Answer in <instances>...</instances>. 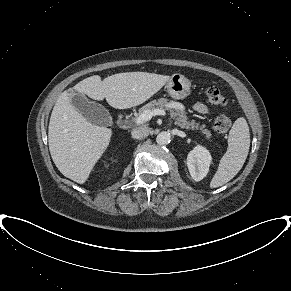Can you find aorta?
I'll return each mask as SVG.
<instances>
[{"mask_svg": "<svg viewBox=\"0 0 291 291\" xmlns=\"http://www.w3.org/2000/svg\"><path fill=\"white\" fill-rule=\"evenodd\" d=\"M170 141H171V135L169 132H166V131L159 133L156 137V142L159 145H166L170 143Z\"/></svg>", "mask_w": 291, "mask_h": 291, "instance_id": "1", "label": "aorta"}]
</instances>
